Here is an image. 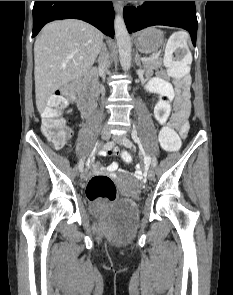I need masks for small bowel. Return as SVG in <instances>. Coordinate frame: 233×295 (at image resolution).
Listing matches in <instances>:
<instances>
[{
    "mask_svg": "<svg viewBox=\"0 0 233 295\" xmlns=\"http://www.w3.org/2000/svg\"><path fill=\"white\" fill-rule=\"evenodd\" d=\"M146 88L149 92L160 96V99L154 106V116L157 122L163 125L170 118L168 124L176 129L180 136L184 138L188 131L187 119L191 107L189 90L179 91L174 89L173 85L166 79L164 72L152 78ZM106 150L109 154L117 153V149L113 147ZM93 167L109 173L124 172L115 162H112L106 167H99L96 164ZM135 177H142V171L140 169L135 172Z\"/></svg>",
    "mask_w": 233,
    "mask_h": 295,
    "instance_id": "c3829d8e",
    "label": "small bowel"
}]
</instances>
